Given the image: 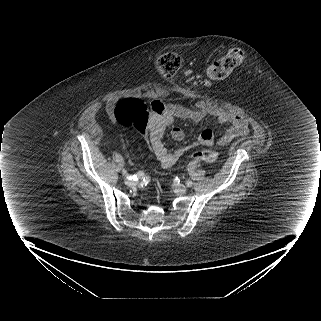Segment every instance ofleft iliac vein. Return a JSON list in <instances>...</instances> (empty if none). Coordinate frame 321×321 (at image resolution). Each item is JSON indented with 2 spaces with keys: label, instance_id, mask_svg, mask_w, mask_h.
I'll return each mask as SVG.
<instances>
[{
  "label": "left iliac vein",
  "instance_id": "left-iliac-vein-1",
  "mask_svg": "<svg viewBox=\"0 0 321 321\" xmlns=\"http://www.w3.org/2000/svg\"><path fill=\"white\" fill-rule=\"evenodd\" d=\"M173 189H174L175 193L180 194V195L185 194L187 191V187L183 184H176V185H174Z\"/></svg>",
  "mask_w": 321,
  "mask_h": 321
}]
</instances>
